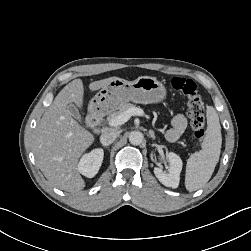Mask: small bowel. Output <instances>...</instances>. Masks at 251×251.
I'll use <instances>...</instances> for the list:
<instances>
[{
    "instance_id": "1",
    "label": "small bowel",
    "mask_w": 251,
    "mask_h": 251,
    "mask_svg": "<svg viewBox=\"0 0 251 251\" xmlns=\"http://www.w3.org/2000/svg\"><path fill=\"white\" fill-rule=\"evenodd\" d=\"M187 126L186 117L182 114L176 115L172 120V127L168 130L166 138L170 142H174L180 138Z\"/></svg>"
}]
</instances>
